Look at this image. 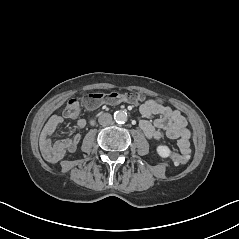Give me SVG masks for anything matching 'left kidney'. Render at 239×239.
<instances>
[{
    "instance_id": "5707ae66",
    "label": "left kidney",
    "mask_w": 239,
    "mask_h": 239,
    "mask_svg": "<svg viewBox=\"0 0 239 239\" xmlns=\"http://www.w3.org/2000/svg\"><path fill=\"white\" fill-rule=\"evenodd\" d=\"M155 150H156L157 155L162 159H167L172 154L170 147L167 145H163V144L157 145Z\"/></svg>"
}]
</instances>
